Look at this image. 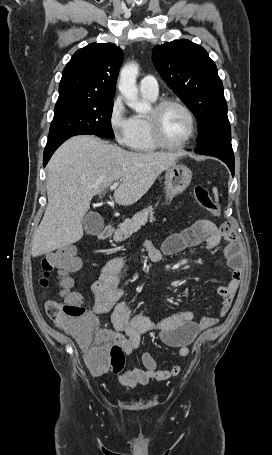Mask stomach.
<instances>
[{
	"mask_svg": "<svg viewBox=\"0 0 272 455\" xmlns=\"http://www.w3.org/2000/svg\"><path fill=\"white\" fill-rule=\"evenodd\" d=\"M192 172L186 166L174 163L166 169L165 190L167 199L182 193L191 183Z\"/></svg>",
	"mask_w": 272,
	"mask_h": 455,
	"instance_id": "0dacf381",
	"label": "stomach"
}]
</instances>
